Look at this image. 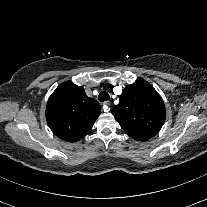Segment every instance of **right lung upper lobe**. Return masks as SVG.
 I'll return each mask as SVG.
<instances>
[{"mask_svg": "<svg viewBox=\"0 0 207 207\" xmlns=\"http://www.w3.org/2000/svg\"><path fill=\"white\" fill-rule=\"evenodd\" d=\"M99 103L71 81L60 84L50 96L46 119L59 138L76 142L86 136L100 115Z\"/></svg>", "mask_w": 207, "mask_h": 207, "instance_id": "cb5924a9", "label": "right lung upper lobe"}]
</instances>
